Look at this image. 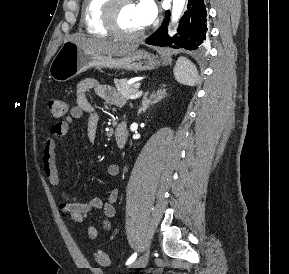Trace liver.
Returning <instances> with one entry per match:
<instances>
[{
    "label": "liver",
    "mask_w": 289,
    "mask_h": 274,
    "mask_svg": "<svg viewBox=\"0 0 289 274\" xmlns=\"http://www.w3.org/2000/svg\"><path fill=\"white\" fill-rule=\"evenodd\" d=\"M67 41H73L81 48L90 52L111 57H122L137 49L136 45L115 43L97 38H85L77 35L69 36Z\"/></svg>",
    "instance_id": "liver-1"
}]
</instances>
